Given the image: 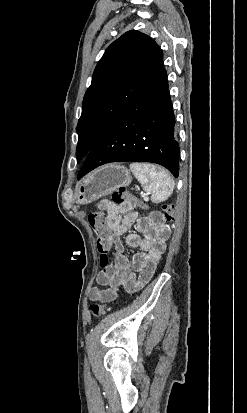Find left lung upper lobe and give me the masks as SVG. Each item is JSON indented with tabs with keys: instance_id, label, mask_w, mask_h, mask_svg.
Segmentation results:
<instances>
[{
	"instance_id": "5c2ea615",
	"label": "left lung upper lobe",
	"mask_w": 247,
	"mask_h": 413,
	"mask_svg": "<svg viewBox=\"0 0 247 413\" xmlns=\"http://www.w3.org/2000/svg\"><path fill=\"white\" fill-rule=\"evenodd\" d=\"M163 67V52L149 36L128 31L98 62L77 125L76 157H86L111 123Z\"/></svg>"
}]
</instances>
